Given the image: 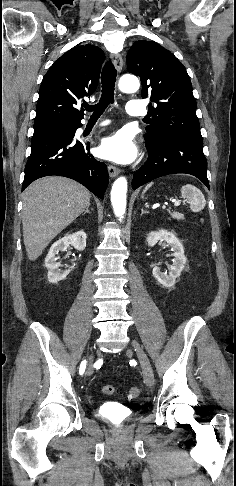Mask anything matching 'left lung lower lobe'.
Returning a JSON list of instances; mask_svg holds the SVG:
<instances>
[{
    "mask_svg": "<svg viewBox=\"0 0 236 486\" xmlns=\"http://www.w3.org/2000/svg\"><path fill=\"white\" fill-rule=\"evenodd\" d=\"M148 159L133 175L132 188L161 176L187 173L196 176L209 189L207 161L203 153V140L181 135L165 136L146 142Z\"/></svg>",
    "mask_w": 236,
    "mask_h": 486,
    "instance_id": "left-lung-lower-lobe-1",
    "label": "left lung lower lobe"
}]
</instances>
